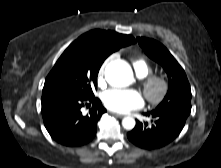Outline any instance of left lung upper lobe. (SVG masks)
Returning <instances> with one entry per match:
<instances>
[{"label":"left lung upper lobe","mask_w":221,"mask_h":168,"mask_svg":"<svg viewBox=\"0 0 221 168\" xmlns=\"http://www.w3.org/2000/svg\"><path fill=\"white\" fill-rule=\"evenodd\" d=\"M139 45L152 60L159 63L167 73L169 88L162 102L153 110L191 111V89L183 68L161 43L148 38H137Z\"/></svg>","instance_id":"1"}]
</instances>
